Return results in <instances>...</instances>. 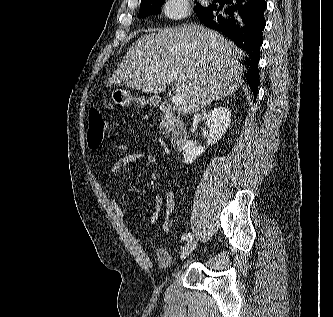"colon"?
I'll return each mask as SVG.
<instances>
[{"instance_id":"obj_1","label":"colon","mask_w":333,"mask_h":317,"mask_svg":"<svg viewBox=\"0 0 333 317\" xmlns=\"http://www.w3.org/2000/svg\"><path fill=\"white\" fill-rule=\"evenodd\" d=\"M107 122L97 107L89 110V129L87 134L88 145L92 150L98 149L105 137ZM174 223V215L170 218L169 227L172 229Z\"/></svg>"}]
</instances>
